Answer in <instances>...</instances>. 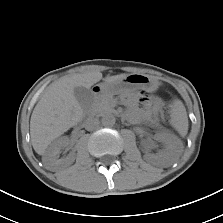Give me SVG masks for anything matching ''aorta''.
<instances>
[{
    "mask_svg": "<svg viewBox=\"0 0 223 223\" xmlns=\"http://www.w3.org/2000/svg\"><path fill=\"white\" fill-rule=\"evenodd\" d=\"M102 124L106 127H112L114 126L115 122H116V119H115V116L113 114H105L103 117H102Z\"/></svg>",
    "mask_w": 223,
    "mask_h": 223,
    "instance_id": "aorta-1",
    "label": "aorta"
}]
</instances>
